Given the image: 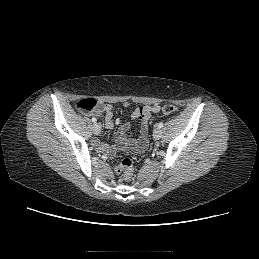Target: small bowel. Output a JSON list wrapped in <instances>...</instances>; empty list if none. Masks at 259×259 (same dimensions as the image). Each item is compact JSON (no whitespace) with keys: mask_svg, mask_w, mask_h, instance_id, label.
Wrapping results in <instances>:
<instances>
[{"mask_svg":"<svg viewBox=\"0 0 259 259\" xmlns=\"http://www.w3.org/2000/svg\"><path fill=\"white\" fill-rule=\"evenodd\" d=\"M130 104L126 103L125 106L128 107ZM147 110V115H142L141 108H135L131 112L132 119H140L141 126H140V133L137 138H131L128 136V132L130 130V125L125 123L121 125L116 135V144L117 147L121 149H129L134 152H141L143 151L148 143V131H149V120L152 115L159 113L160 106H145ZM101 113L105 114V126L108 129H112L115 125L114 122V109L111 104H104L100 106L96 111L95 114L99 115ZM97 147L107 153L108 155H113L114 149L109 147L107 144L102 143L100 141L96 142Z\"/></svg>","mask_w":259,"mask_h":259,"instance_id":"c3829d8e","label":"small bowel"}]
</instances>
